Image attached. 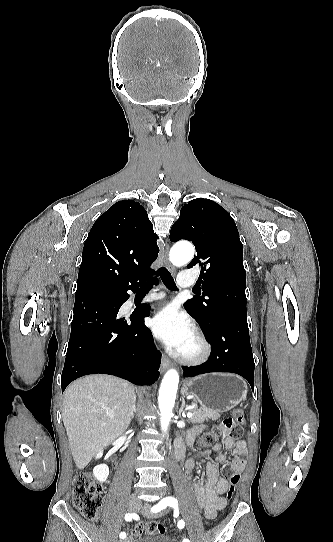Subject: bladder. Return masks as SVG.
Here are the masks:
<instances>
[{
  "mask_svg": "<svg viewBox=\"0 0 333 542\" xmlns=\"http://www.w3.org/2000/svg\"><path fill=\"white\" fill-rule=\"evenodd\" d=\"M138 542H176L173 538L162 534H148L141 537Z\"/></svg>",
  "mask_w": 333,
  "mask_h": 542,
  "instance_id": "bladder-1",
  "label": "bladder"
}]
</instances>
